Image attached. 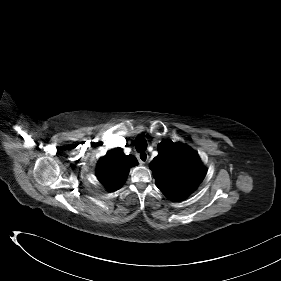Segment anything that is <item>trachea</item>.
Returning a JSON list of instances; mask_svg holds the SVG:
<instances>
[{
    "mask_svg": "<svg viewBox=\"0 0 281 281\" xmlns=\"http://www.w3.org/2000/svg\"><path fill=\"white\" fill-rule=\"evenodd\" d=\"M135 148L138 152H143L147 149V141L144 137L139 136L135 139Z\"/></svg>",
    "mask_w": 281,
    "mask_h": 281,
    "instance_id": "1",
    "label": "trachea"
}]
</instances>
